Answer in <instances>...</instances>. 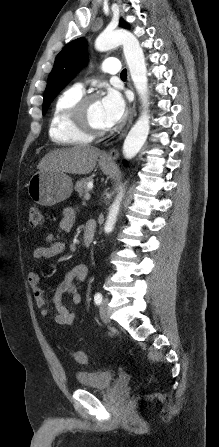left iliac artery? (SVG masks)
Returning <instances> with one entry per match:
<instances>
[{"instance_id": "1", "label": "left iliac artery", "mask_w": 219, "mask_h": 447, "mask_svg": "<svg viewBox=\"0 0 219 447\" xmlns=\"http://www.w3.org/2000/svg\"><path fill=\"white\" fill-rule=\"evenodd\" d=\"M94 301L96 303V305H100L102 302V294L101 293H96L94 296Z\"/></svg>"}]
</instances>
